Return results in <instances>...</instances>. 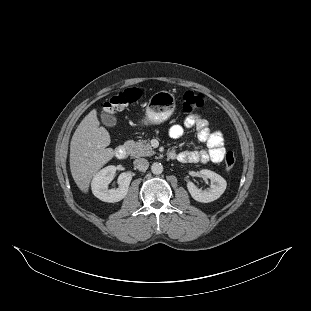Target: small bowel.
Wrapping results in <instances>:
<instances>
[{"label":"small bowel","mask_w":311,"mask_h":311,"mask_svg":"<svg viewBox=\"0 0 311 311\" xmlns=\"http://www.w3.org/2000/svg\"><path fill=\"white\" fill-rule=\"evenodd\" d=\"M188 128L197 130L198 139L205 143L206 149L183 151L175 154L174 159L182 163H220L225 155L223 135L219 131H211L208 121L200 115H189L183 124H174L169 129V135L173 139H179Z\"/></svg>","instance_id":"small-bowel-1"}]
</instances>
